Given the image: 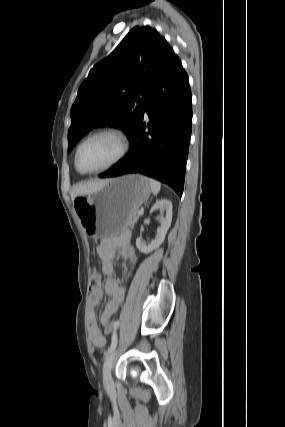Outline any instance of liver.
<instances>
[{
  "mask_svg": "<svg viewBox=\"0 0 285 427\" xmlns=\"http://www.w3.org/2000/svg\"><path fill=\"white\" fill-rule=\"evenodd\" d=\"M109 180H96L91 182L79 183L73 186L71 190V199L74 200L79 195L92 194L104 187Z\"/></svg>",
  "mask_w": 285,
  "mask_h": 427,
  "instance_id": "1",
  "label": "liver"
}]
</instances>
